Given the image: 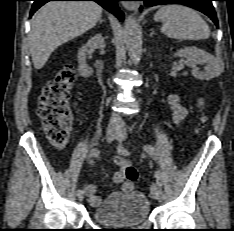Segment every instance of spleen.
Returning a JSON list of instances; mask_svg holds the SVG:
<instances>
[{
	"label": "spleen",
	"instance_id": "1",
	"mask_svg": "<svg viewBox=\"0 0 234 231\" xmlns=\"http://www.w3.org/2000/svg\"><path fill=\"white\" fill-rule=\"evenodd\" d=\"M161 21V33L172 39H208L210 29L204 19L193 9L182 5H165L154 16Z\"/></svg>",
	"mask_w": 234,
	"mask_h": 231
}]
</instances>
